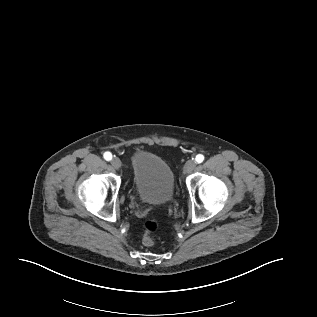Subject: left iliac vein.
I'll return each instance as SVG.
<instances>
[{
    "mask_svg": "<svg viewBox=\"0 0 317 317\" xmlns=\"http://www.w3.org/2000/svg\"><path fill=\"white\" fill-rule=\"evenodd\" d=\"M196 167V162L194 160H188L183 168L185 174L191 173Z\"/></svg>",
    "mask_w": 317,
    "mask_h": 317,
    "instance_id": "4c4485c4",
    "label": "left iliac vein"
}]
</instances>
